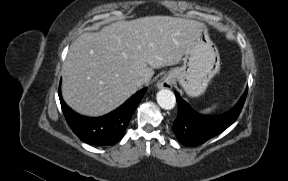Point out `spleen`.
I'll return each instance as SVG.
<instances>
[{
	"label": "spleen",
	"mask_w": 288,
	"mask_h": 181,
	"mask_svg": "<svg viewBox=\"0 0 288 181\" xmlns=\"http://www.w3.org/2000/svg\"><path fill=\"white\" fill-rule=\"evenodd\" d=\"M213 108H214V106H213L212 108H207V109H205V110L202 111V112H203V113H208V112H210Z\"/></svg>",
	"instance_id": "spleen-1"
}]
</instances>
